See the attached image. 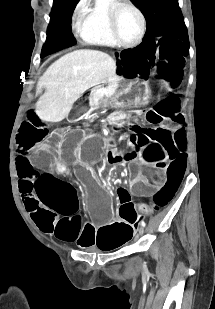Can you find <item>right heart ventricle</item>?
Wrapping results in <instances>:
<instances>
[{
    "label": "right heart ventricle",
    "instance_id": "right-heart-ventricle-1",
    "mask_svg": "<svg viewBox=\"0 0 215 309\" xmlns=\"http://www.w3.org/2000/svg\"><path fill=\"white\" fill-rule=\"evenodd\" d=\"M80 24L82 37L86 41L104 46H110V42H113L109 15L106 9H97L96 14H86L85 19H81Z\"/></svg>",
    "mask_w": 215,
    "mask_h": 309
}]
</instances>
